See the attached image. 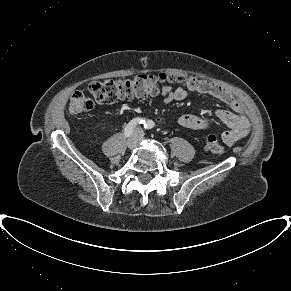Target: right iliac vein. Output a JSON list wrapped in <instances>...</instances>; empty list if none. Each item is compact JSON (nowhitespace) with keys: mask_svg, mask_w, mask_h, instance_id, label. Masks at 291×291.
<instances>
[{"mask_svg":"<svg viewBox=\"0 0 291 291\" xmlns=\"http://www.w3.org/2000/svg\"><path fill=\"white\" fill-rule=\"evenodd\" d=\"M138 140H139V134H138L137 132H135V133H134L133 135H131L130 138L128 139V141H127V147H128L129 149H133V148L136 146Z\"/></svg>","mask_w":291,"mask_h":291,"instance_id":"obj_1","label":"right iliac vein"}]
</instances>
